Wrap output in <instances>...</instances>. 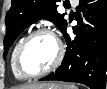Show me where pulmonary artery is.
<instances>
[{"mask_svg": "<svg viewBox=\"0 0 107 89\" xmlns=\"http://www.w3.org/2000/svg\"><path fill=\"white\" fill-rule=\"evenodd\" d=\"M72 3H73V4H76V1H75V0H73V1H72Z\"/></svg>", "mask_w": 107, "mask_h": 89, "instance_id": "obj_1", "label": "pulmonary artery"}]
</instances>
